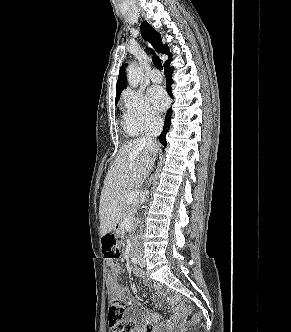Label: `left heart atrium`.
<instances>
[{"label":"left heart atrium","mask_w":291,"mask_h":332,"mask_svg":"<svg viewBox=\"0 0 291 332\" xmlns=\"http://www.w3.org/2000/svg\"><path fill=\"white\" fill-rule=\"evenodd\" d=\"M148 97L156 111H163L167 104L168 98L161 87H152L148 91Z\"/></svg>","instance_id":"39dd6f15"}]
</instances>
